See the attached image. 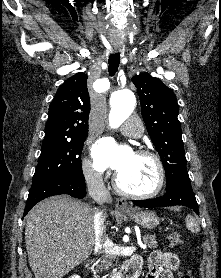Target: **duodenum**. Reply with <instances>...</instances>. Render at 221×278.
Here are the masks:
<instances>
[{
  "label": "duodenum",
  "mask_w": 221,
  "mask_h": 278,
  "mask_svg": "<svg viewBox=\"0 0 221 278\" xmlns=\"http://www.w3.org/2000/svg\"><path fill=\"white\" fill-rule=\"evenodd\" d=\"M141 266L136 261L128 264L118 275V278H138Z\"/></svg>",
  "instance_id": "obj_1"
}]
</instances>
